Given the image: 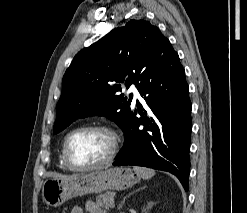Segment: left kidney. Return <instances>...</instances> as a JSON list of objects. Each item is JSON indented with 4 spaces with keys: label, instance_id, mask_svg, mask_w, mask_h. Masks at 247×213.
Returning a JSON list of instances; mask_svg holds the SVG:
<instances>
[{
    "label": "left kidney",
    "instance_id": "1",
    "mask_svg": "<svg viewBox=\"0 0 247 213\" xmlns=\"http://www.w3.org/2000/svg\"><path fill=\"white\" fill-rule=\"evenodd\" d=\"M152 205H153L152 203H148L147 208L143 209V212L147 213L146 210L150 209L152 207Z\"/></svg>",
    "mask_w": 247,
    "mask_h": 213
}]
</instances>
